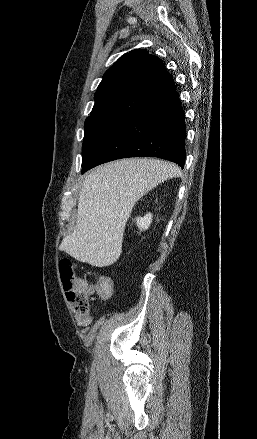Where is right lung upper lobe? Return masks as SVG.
<instances>
[{"label":"right lung upper lobe","mask_w":257,"mask_h":439,"mask_svg":"<svg viewBox=\"0 0 257 439\" xmlns=\"http://www.w3.org/2000/svg\"><path fill=\"white\" fill-rule=\"evenodd\" d=\"M174 90L173 78L161 59L145 49L132 50L105 72L89 117L129 118Z\"/></svg>","instance_id":"obj_1"}]
</instances>
